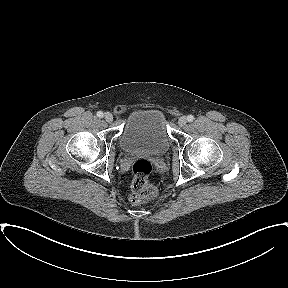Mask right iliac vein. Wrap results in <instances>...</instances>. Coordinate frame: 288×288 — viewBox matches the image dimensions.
Here are the masks:
<instances>
[{"instance_id": "right-iliac-vein-1", "label": "right iliac vein", "mask_w": 288, "mask_h": 288, "mask_svg": "<svg viewBox=\"0 0 288 288\" xmlns=\"http://www.w3.org/2000/svg\"><path fill=\"white\" fill-rule=\"evenodd\" d=\"M104 118L107 122H112L113 121V115L109 112L105 113Z\"/></svg>"}]
</instances>
